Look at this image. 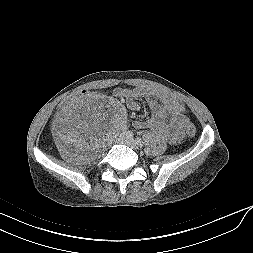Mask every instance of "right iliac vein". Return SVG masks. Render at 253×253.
<instances>
[{
    "label": "right iliac vein",
    "mask_w": 253,
    "mask_h": 253,
    "mask_svg": "<svg viewBox=\"0 0 253 253\" xmlns=\"http://www.w3.org/2000/svg\"><path fill=\"white\" fill-rule=\"evenodd\" d=\"M123 138H124V136H123V137H121V138H120V140H122Z\"/></svg>",
    "instance_id": "right-iliac-vein-1"
}]
</instances>
